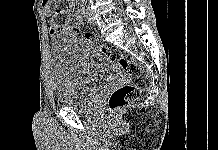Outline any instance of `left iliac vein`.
I'll use <instances>...</instances> for the list:
<instances>
[{
	"instance_id": "4c4485c4",
	"label": "left iliac vein",
	"mask_w": 218,
	"mask_h": 150,
	"mask_svg": "<svg viewBox=\"0 0 218 150\" xmlns=\"http://www.w3.org/2000/svg\"><path fill=\"white\" fill-rule=\"evenodd\" d=\"M84 13H85V19L90 22V23H95L94 18L91 14L90 9L87 7L86 9H84Z\"/></svg>"
}]
</instances>
